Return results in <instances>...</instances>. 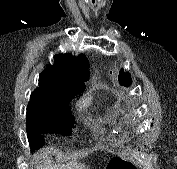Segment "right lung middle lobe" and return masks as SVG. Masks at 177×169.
I'll list each match as a JSON object with an SVG mask.
<instances>
[{"label":"right lung middle lobe","instance_id":"dd1d6c3e","mask_svg":"<svg viewBox=\"0 0 177 169\" xmlns=\"http://www.w3.org/2000/svg\"><path fill=\"white\" fill-rule=\"evenodd\" d=\"M69 102L70 100L53 104L28 105L26 114L28 135L42 136L47 132L71 134L74 118L69 112Z\"/></svg>","mask_w":177,"mask_h":169}]
</instances>
